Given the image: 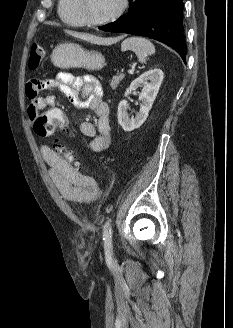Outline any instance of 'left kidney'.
Here are the masks:
<instances>
[{"label": "left kidney", "mask_w": 233, "mask_h": 328, "mask_svg": "<svg viewBox=\"0 0 233 328\" xmlns=\"http://www.w3.org/2000/svg\"><path fill=\"white\" fill-rule=\"evenodd\" d=\"M164 74L161 69H151L137 79L132 81L130 86L126 89L125 97H127L132 91H135L138 87H143L139 94V100L141 101L140 110L134 117H129L127 113L128 102L122 100L118 105V123L121 125L124 131L130 132L139 128L147 119L148 113L152 108L153 102L156 99L159 88L163 81ZM148 80L150 82H148Z\"/></svg>", "instance_id": "5707ae66"}]
</instances>
